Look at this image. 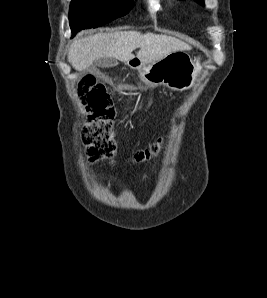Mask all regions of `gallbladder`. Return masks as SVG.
<instances>
[{"mask_svg":"<svg viewBox=\"0 0 267 298\" xmlns=\"http://www.w3.org/2000/svg\"><path fill=\"white\" fill-rule=\"evenodd\" d=\"M115 64V61L112 60V58H102V59H97L94 62L93 66H90L86 69L87 73H94V71L96 70L95 67H101V68H106L109 66H112Z\"/></svg>","mask_w":267,"mask_h":298,"instance_id":"1","label":"gallbladder"}]
</instances>
